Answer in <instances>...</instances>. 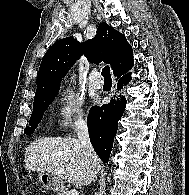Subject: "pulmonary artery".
<instances>
[{
  "label": "pulmonary artery",
  "instance_id": "pulmonary-artery-1",
  "mask_svg": "<svg viewBox=\"0 0 189 195\" xmlns=\"http://www.w3.org/2000/svg\"><path fill=\"white\" fill-rule=\"evenodd\" d=\"M89 81H90V86L93 89L98 90L103 86V80L101 79V74L97 71H93L90 74Z\"/></svg>",
  "mask_w": 189,
  "mask_h": 195
}]
</instances>
